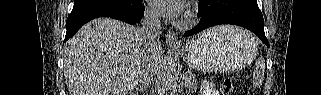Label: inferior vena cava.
I'll return each instance as SVG.
<instances>
[{
  "mask_svg": "<svg viewBox=\"0 0 321 95\" xmlns=\"http://www.w3.org/2000/svg\"><path fill=\"white\" fill-rule=\"evenodd\" d=\"M141 38L147 48L148 60L140 72L139 82L148 87L155 74L153 60L155 52L160 46L161 23L158 14L146 8L140 28Z\"/></svg>",
  "mask_w": 321,
  "mask_h": 95,
  "instance_id": "obj_1",
  "label": "inferior vena cava"
}]
</instances>
